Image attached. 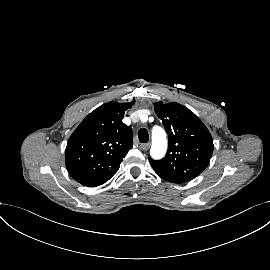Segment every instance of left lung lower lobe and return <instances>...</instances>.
Instances as JSON below:
<instances>
[{
	"mask_svg": "<svg viewBox=\"0 0 270 270\" xmlns=\"http://www.w3.org/2000/svg\"><path fill=\"white\" fill-rule=\"evenodd\" d=\"M158 174V173H157ZM159 177H161L162 179L169 181V182H174V183H183L185 182L184 180L175 178V177H171V176H167V175H163V174H158Z\"/></svg>",
	"mask_w": 270,
	"mask_h": 270,
	"instance_id": "0a47b994",
	"label": "left lung lower lobe"
}]
</instances>
